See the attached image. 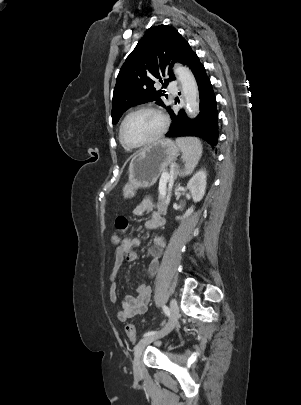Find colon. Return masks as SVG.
I'll use <instances>...</instances> for the list:
<instances>
[{"label":"colon","instance_id":"obj_1","mask_svg":"<svg viewBox=\"0 0 301 405\" xmlns=\"http://www.w3.org/2000/svg\"><path fill=\"white\" fill-rule=\"evenodd\" d=\"M115 226L118 230V233H114L113 236L111 237V244L113 247H119L120 243L122 242V234L128 229L129 227V222L127 218L123 216H119L115 220ZM125 332L128 338L132 341L135 342L137 340V334L136 330L133 324L127 323L125 326Z\"/></svg>","mask_w":301,"mask_h":405}]
</instances>
